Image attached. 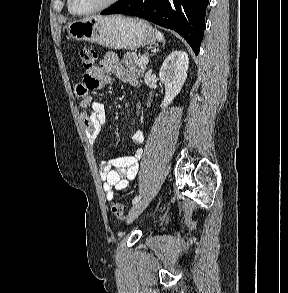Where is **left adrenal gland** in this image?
<instances>
[{
  "label": "left adrenal gland",
  "instance_id": "obj_1",
  "mask_svg": "<svg viewBox=\"0 0 288 293\" xmlns=\"http://www.w3.org/2000/svg\"><path fill=\"white\" fill-rule=\"evenodd\" d=\"M156 51H158L156 48L153 50V53H155Z\"/></svg>",
  "mask_w": 288,
  "mask_h": 293
}]
</instances>
